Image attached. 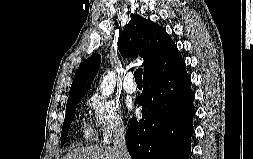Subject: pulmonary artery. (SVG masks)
Listing matches in <instances>:
<instances>
[{
  "instance_id": "pulmonary-artery-1",
  "label": "pulmonary artery",
  "mask_w": 253,
  "mask_h": 159,
  "mask_svg": "<svg viewBox=\"0 0 253 159\" xmlns=\"http://www.w3.org/2000/svg\"><path fill=\"white\" fill-rule=\"evenodd\" d=\"M123 88L127 93H135L137 90V86L134 82V74L132 72H128L125 76L123 82Z\"/></svg>"
}]
</instances>
